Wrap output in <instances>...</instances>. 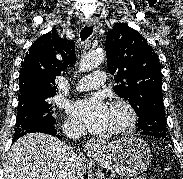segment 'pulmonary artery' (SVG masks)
<instances>
[{
  "instance_id": "1",
  "label": "pulmonary artery",
  "mask_w": 183,
  "mask_h": 179,
  "mask_svg": "<svg viewBox=\"0 0 183 179\" xmlns=\"http://www.w3.org/2000/svg\"><path fill=\"white\" fill-rule=\"evenodd\" d=\"M105 82V73L103 71H95L81 78L75 85L78 91L92 90L100 87Z\"/></svg>"
}]
</instances>
